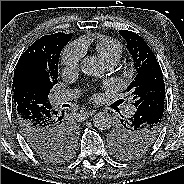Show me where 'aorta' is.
Listing matches in <instances>:
<instances>
[{
    "mask_svg": "<svg viewBox=\"0 0 184 184\" xmlns=\"http://www.w3.org/2000/svg\"><path fill=\"white\" fill-rule=\"evenodd\" d=\"M81 71L89 76L103 74L104 67L95 56H87L81 60ZM112 116L108 112H98L93 117V125L99 130H107L112 126Z\"/></svg>",
    "mask_w": 184,
    "mask_h": 184,
    "instance_id": "1",
    "label": "aorta"
}]
</instances>
